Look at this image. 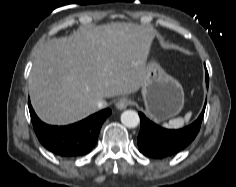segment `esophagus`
Segmentation results:
<instances>
[{
  "instance_id": "34e87169",
  "label": "esophagus",
  "mask_w": 236,
  "mask_h": 187,
  "mask_svg": "<svg viewBox=\"0 0 236 187\" xmlns=\"http://www.w3.org/2000/svg\"><path fill=\"white\" fill-rule=\"evenodd\" d=\"M131 101L127 98H121L116 102V108L119 110H123L130 105Z\"/></svg>"
}]
</instances>
